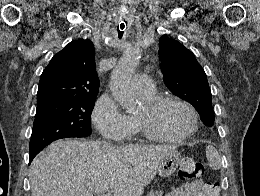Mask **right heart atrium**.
I'll use <instances>...</instances> for the list:
<instances>
[{
	"mask_svg": "<svg viewBox=\"0 0 260 196\" xmlns=\"http://www.w3.org/2000/svg\"><path fill=\"white\" fill-rule=\"evenodd\" d=\"M92 120L97 130L105 138L92 143H112L108 140H119L120 138L116 133L118 130H128L134 127L132 118L108 93L102 94L96 101L92 111Z\"/></svg>",
	"mask_w": 260,
	"mask_h": 196,
	"instance_id": "right-heart-atrium-1",
	"label": "right heart atrium"
}]
</instances>
